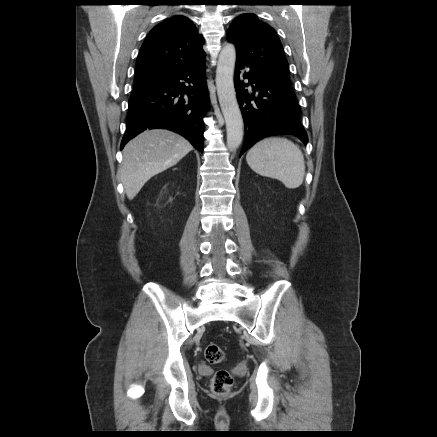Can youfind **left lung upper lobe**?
<instances>
[{"label": "left lung upper lobe", "mask_w": 437, "mask_h": 437, "mask_svg": "<svg viewBox=\"0 0 437 437\" xmlns=\"http://www.w3.org/2000/svg\"><path fill=\"white\" fill-rule=\"evenodd\" d=\"M227 40L236 46L237 58L248 62L263 76L291 90L288 63L275 30L252 13L234 19Z\"/></svg>", "instance_id": "1"}]
</instances>
